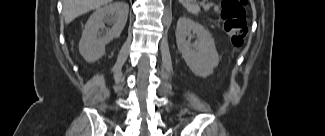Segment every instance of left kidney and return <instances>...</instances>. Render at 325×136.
Here are the masks:
<instances>
[{"instance_id":"1","label":"left kidney","mask_w":325,"mask_h":136,"mask_svg":"<svg viewBox=\"0 0 325 136\" xmlns=\"http://www.w3.org/2000/svg\"><path fill=\"white\" fill-rule=\"evenodd\" d=\"M192 34L197 36V41L191 44L186 38ZM175 35L177 47L190 70L203 78L211 75L219 64V55L210 32L201 24L183 16L177 21Z\"/></svg>"}]
</instances>
